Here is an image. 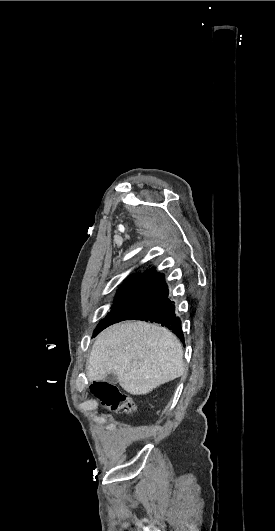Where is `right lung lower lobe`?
Masks as SVG:
<instances>
[{
    "label": "right lung lower lobe",
    "instance_id": "obj_1",
    "mask_svg": "<svg viewBox=\"0 0 275 531\" xmlns=\"http://www.w3.org/2000/svg\"><path fill=\"white\" fill-rule=\"evenodd\" d=\"M168 296L164 274L155 272L154 267L146 270L106 315L95 336L123 320H145L167 327L184 342L181 320Z\"/></svg>",
    "mask_w": 275,
    "mask_h": 531
}]
</instances>
